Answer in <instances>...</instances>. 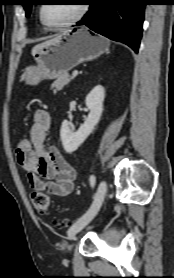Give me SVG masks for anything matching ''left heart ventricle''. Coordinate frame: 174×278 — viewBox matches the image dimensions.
Masks as SVG:
<instances>
[{"instance_id":"1","label":"left heart ventricle","mask_w":174,"mask_h":278,"mask_svg":"<svg viewBox=\"0 0 174 278\" xmlns=\"http://www.w3.org/2000/svg\"><path fill=\"white\" fill-rule=\"evenodd\" d=\"M80 8V4H49L44 7V16L51 25H60L72 19Z\"/></svg>"}]
</instances>
